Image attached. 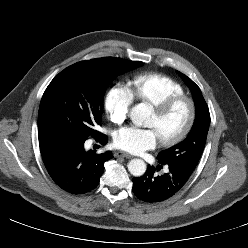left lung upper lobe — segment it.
I'll return each mask as SVG.
<instances>
[{"label": "left lung upper lobe", "mask_w": 248, "mask_h": 248, "mask_svg": "<svg viewBox=\"0 0 248 248\" xmlns=\"http://www.w3.org/2000/svg\"><path fill=\"white\" fill-rule=\"evenodd\" d=\"M178 73L192 91L196 117L187 138L173 147L161 151L157 159L161 164H172L193 172L205 147L210 125V113L199 87L186 75L181 72Z\"/></svg>", "instance_id": "obj_1"}]
</instances>
